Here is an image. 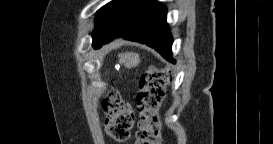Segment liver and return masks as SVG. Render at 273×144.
Returning a JSON list of instances; mask_svg holds the SVG:
<instances>
[{"mask_svg": "<svg viewBox=\"0 0 273 144\" xmlns=\"http://www.w3.org/2000/svg\"><path fill=\"white\" fill-rule=\"evenodd\" d=\"M119 63L124 65L125 68L131 69L137 67L140 63V57L137 53L134 52H125L118 55Z\"/></svg>", "mask_w": 273, "mask_h": 144, "instance_id": "liver-1", "label": "liver"}]
</instances>
